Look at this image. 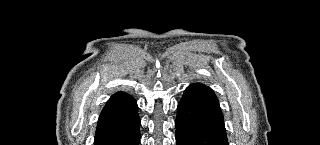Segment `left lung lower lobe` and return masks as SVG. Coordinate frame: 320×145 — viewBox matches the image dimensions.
<instances>
[{"mask_svg":"<svg viewBox=\"0 0 320 145\" xmlns=\"http://www.w3.org/2000/svg\"><path fill=\"white\" fill-rule=\"evenodd\" d=\"M177 145H228L223 114L213 90L193 83L178 103Z\"/></svg>","mask_w":320,"mask_h":145,"instance_id":"0a47b994","label":"left lung lower lobe"}]
</instances>
